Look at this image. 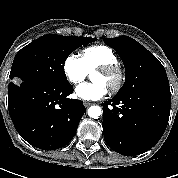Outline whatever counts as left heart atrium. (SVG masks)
<instances>
[{"label":"left heart atrium","instance_id":"39dd6f15","mask_svg":"<svg viewBox=\"0 0 178 178\" xmlns=\"http://www.w3.org/2000/svg\"><path fill=\"white\" fill-rule=\"evenodd\" d=\"M108 91V87L103 83H83L75 89L76 96L85 101L102 99Z\"/></svg>","mask_w":178,"mask_h":178}]
</instances>
